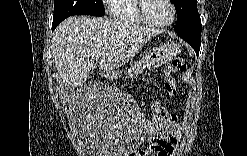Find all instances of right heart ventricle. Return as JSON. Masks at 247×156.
Listing matches in <instances>:
<instances>
[{
    "mask_svg": "<svg viewBox=\"0 0 247 156\" xmlns=\"http://www.w3.org/2000/svg\"><path fill=\"white\" fill-rule=\"evenodd\" d=\"M137 0L113 1L111 13L121 22L129 24H145L137 11Z\"/></svg>",
    "mask_w": 247,
    "mask_h": 156,
    "instance_id": "1",
    "label": "right heart ventricle"
}]
</instances>
